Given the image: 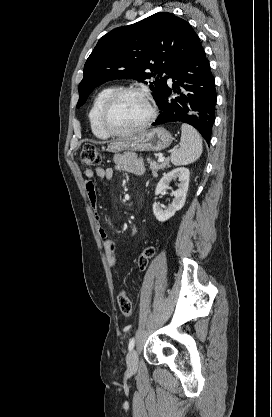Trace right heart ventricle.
Segmentation results:
<instances>
[{
	"label": "right heart ventricle",
	"mask_w": 272,
	"mask_h": 417,
	"mask_svg": "<svg viewBox=\"0 0 272 417\" xmlns=\"http://www.w3.org/2000/svg\"><path fill=\"white\" fill-rule=\"evenodd\" d=\"M116 90L114 86H107L101 89L94 97L89 113L88 118L90 122V127L93 134L100 139H107L108 134L104 132L100 124V113L102 106L106 99Z\"/></svg>",
	"instance_id": "1"
}]
</instances>
